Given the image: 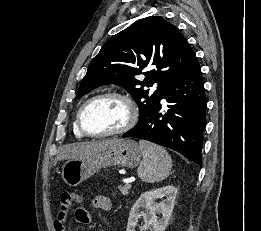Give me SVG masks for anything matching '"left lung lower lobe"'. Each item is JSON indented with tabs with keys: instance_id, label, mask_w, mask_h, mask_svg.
<instances>
[{
	"instance_id": "0a47b994",
	"label": "left lung lower lobe",
	"mask_w": 261,
	"mask_h": 231,
	"mask_svg": "<svg viewBox=\"0 0 261 231\" xmlns=\"http://www.w3.org/2000/svg\"><path fill=\"white\" fill-rule=\"evenodd\" d=\"M163 98L168 103L166 114L160 113V100L139 119L134 128L123 134V137L154 142L202 165L206 96L197 59L185 73L167 84L161 99Z\"/></svg>"
}]
</instances>
